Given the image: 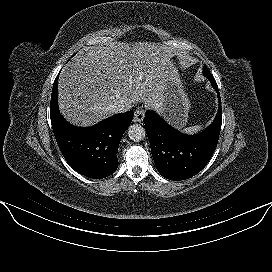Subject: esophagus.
<instances>
[{"label":"esophagus","instance_id":"esophagus-1","mask_svg":"<svg viewBox=\"0 0 272 272\" xmlns=\"http://www.w3.org/2000/svg\"><path fill=\"white\" fill-rule=\"evenodd\" d=\"M145 117V110L140 107L135 111L134 114V122H142L144 120Z\"/></svg>","mask_w":272,"mask_h":272}]
</instances>
